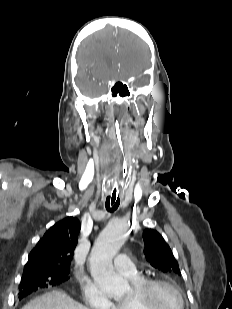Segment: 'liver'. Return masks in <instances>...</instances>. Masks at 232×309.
<instances>
[{"label": "liver", "instance_id": "1", "mask_svg": "<svg viewBox=\"0 0 232 309\" xmlns=\"http://www.w3.org/2000/svg\"><path fill=\"white\" fill-rule=\"evenodd\" d=\"M22 309H89L76 302L65 292L51 291L36 297Z\"/></svg>", "mask_w": 232, "mask_h": 309}]
</instances>
